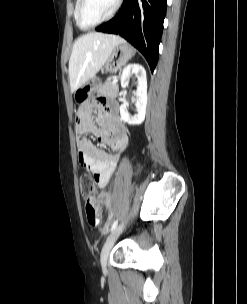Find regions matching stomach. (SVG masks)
<instances>
[{
	"label": "stomach",
	"instance_id": "1",
	"mask_svg": "<svg viewBox=\"0 0 247 304\" xmlns=\"http://www.w3.org/2000/svg\"><path fill=\"white\" fill-rule=\"evenodd\" d=\"M135 50L127 43L118 44L110 54L105 63V69L109 72H117L124 66L134 55ZM96 90L95 84H85L74 92V100L77 104H83L87 101L94 91Z\"/></svg>",
	"mask_w": 247,
	"mask_h": 304
}]
</instances>
